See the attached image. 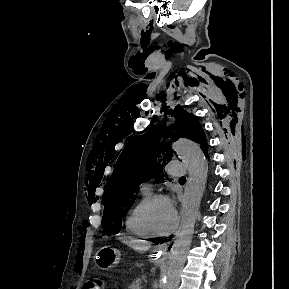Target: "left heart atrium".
I'll use <instances>...</instances> for the list:
<instances>
[{
    "instance_id": "left-heart-atrium-1",
    "label": "left heart atrium",
    "mask_w": 289,
    "mask_h": 289,
    "mask_svg": "<svg viewBox=\"0 0 289 289\" xmlns=\"http://www.w3.org/2000/svg\"><path fill=\"white\" fill-rule=\"evenodd\" d=\"M168 203H169V207L170 209L173 211V201L172 200H168ZM174 212V211H173Z\"/></svg>"
}]
</instances>
